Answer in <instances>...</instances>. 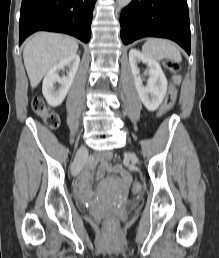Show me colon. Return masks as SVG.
Returning a JSON list of instances; mask_svg holds the SVG:
<instances>
[{
    "label": "colon",
    "mask_w": 219,
    "mask_h": 258,
    "mask_svg": "<svg viewBox=\"0 0 219 258\" xmlns=\"http://www.w3.org/2000/svg\"><path fill=\"white\" fill-rule=\"evenodd\" d=\"M164 67L170 74H176L179 71V64L172 60H166ZM177 97V90L174 85H170L165 99L159 109L158 116H164L168 111L172 109ZM32 108L34 112L40 116L43 121L51 128H56L59 125V116L48 110L45 102L41 98H34L32 102ZM134 195L141 193V185L138 182H134L131 186ZM104 233L106 236H115L119 231V221L116 217L110 216L105 219L103 224Z\"/></svg>",
    "instance_id": "colon-1"
}]
</instances>
